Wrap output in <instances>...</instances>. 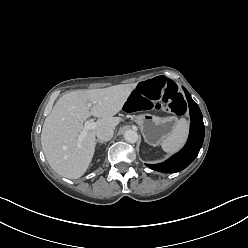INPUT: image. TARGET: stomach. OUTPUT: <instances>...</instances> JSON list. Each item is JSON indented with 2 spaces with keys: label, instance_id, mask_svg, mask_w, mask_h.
I'll use <instances>...</instances> for the list:
<instances>
[{
  "label": "stomach",
  "instance_id": "obj_1",
  "mask_svg": "<svg viewBox=\"0 0 248 248\" xmlns=\"http://www.w3.org/2000/svg\"><path fill=\"white\" fill-rule=\"evenodd\" d=\"M145 142L152 146H158L167 138L168 134L178 124V119L173 114L158 117L149 113L136 117Z\"/></svg>",
  "mask_w": 248,
  "mask_h": 248
}]
</instances>
